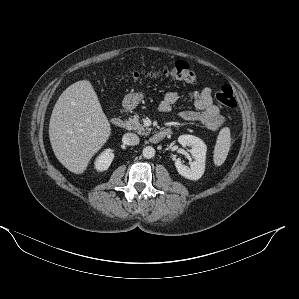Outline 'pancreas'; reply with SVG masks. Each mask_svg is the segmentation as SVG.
I'll return each mask as SVG.
<instances>
[{"mask_svg": "<svg viewBox=\"0 0 299 299\" xmlns=\"http://www.w3.org/2000/svg\"><path fill=\"white\" fill-rule=\"evenodd\" d=\"M125 124L128 130H134L140 135H148L152 130L151 128H145V126L140 123L138 114H135L134 116L126 120Z\"/></svg>", "mask_w": 299, "mask_h": 299, "instance_id": "obj_1", "label": "pancreas"}]
</instances>
